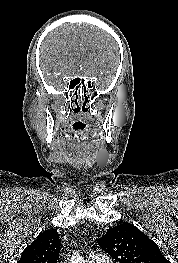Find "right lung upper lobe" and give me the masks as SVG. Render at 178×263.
I'll return each mask as SVG.
<instances>
[{
  "label": "right lung upper lobe",
  "mask_w": 178,
  "mask_h": 263,
  "mask_svg": "<svg viewBox=\"0 0 178 263\" xmlns=\"http://www.w3.org/2000/svg\"><path fill=\"white\" fill-rule=\"evenodd\" d=\"M60 245L57 231L45 230L24 249L18 263H57Z\"/></svg>",
  "instance_id": "right-lung-upper-lobe-1"
}]
</instances>
